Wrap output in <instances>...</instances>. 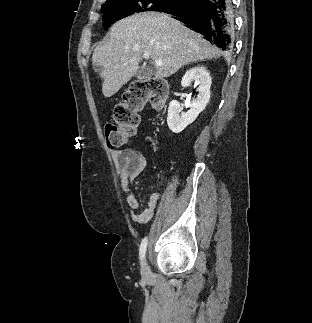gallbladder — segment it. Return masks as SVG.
I'll list each match as a JSON object with an SVG mask.
<instances>
[{
    "label": "gallbladder",
    "mask_w": 312,
    "mask_h": 323,
    "mask_svg": "<svg viewBox=\"0 0 312 323\" xmlns=\"http://www.w3.org/2000/svg\"><path fill=\"white\" fill-rule=\"evenodd\" d=\"M154 72L149 68V66H141V68H138L136 70L134 76H137V78H144V80H148V78H151L153 76Z\"/></svg>",
    "instance_id": "gallbladder-1"
}]
</instances>
